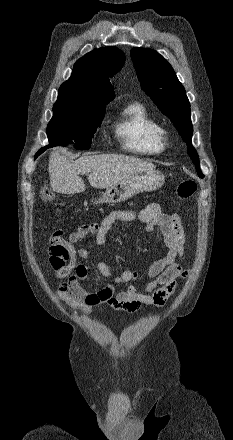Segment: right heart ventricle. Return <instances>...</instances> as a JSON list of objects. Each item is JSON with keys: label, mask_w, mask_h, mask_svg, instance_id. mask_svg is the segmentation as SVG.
Returning <instances> with one entry per match:
<instances>
[{"label": "right heart ventricle", "mask_w": 233, "mask_h": 440, "mask_svg": "<svg viewBox=\"0 0 233 440\" xmlns=\"http://www.w3.org/2000/svg\"><path fill=\"white\" fill-rule=\"evenodd\" d=\"M163 129L147 108L138 102L126 106L113 124L122 148L136 156H153L164 151Z\"/></svg>", "instance_id": "e07e8e85"}]
</instances>
